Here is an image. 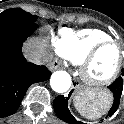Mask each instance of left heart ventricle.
<instances>
[{
    "label": "left heart ventricle",
    "mask_w": 124,
    "mask_h": 124,
    "mask_svg": "<svg viewBox=\"0 0 124 124\" xmlns=\"http://www.w3.org/2000/svg\"><path fill=\"white\" fill-rule=\"evenodd\" d=\"M118 61V49L115 46H107L97 54L91 63L89 73L94 79H105L113 73Z\"/></svg>",
    "instance_id": "b2bd125f"
}]
</instances>
